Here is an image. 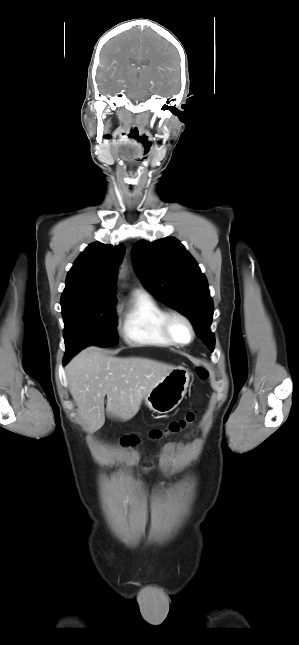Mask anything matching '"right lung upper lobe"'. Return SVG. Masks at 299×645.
<instances>
[{"instance_id":"1","label":"right lung upper lobe","mask_w":299,"mask_h":645,"mask_svg":"<svg viewBox=\"0 0 299 645\" xmlns=\"http://www.w3.org/2000/svg\"><path fill=\"white\" fill-rule=\"evenodd\" d=\"M125 246L90 244L70 269L61 304L68 301H104L115 299L117 267Z\"/></svg>"}]
</instances>
